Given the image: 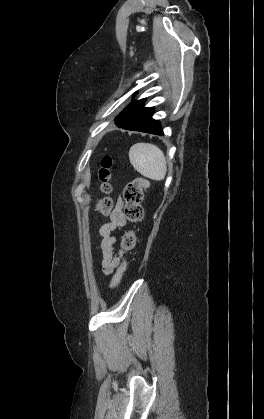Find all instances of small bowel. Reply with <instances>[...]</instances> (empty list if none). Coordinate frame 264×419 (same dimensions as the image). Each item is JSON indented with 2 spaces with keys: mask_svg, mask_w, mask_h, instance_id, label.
Returning a JSON list of instances; mask_svg holds the SVG:
<instances>
[{
  "mask_svg": "<svg viewBox=\"0 0 264 419\" xmlns=\"http://www.w3.org/2000/svg\"><path fill=\"white\" fill-rule=\"evenodd\" d=\"M126 225L123 214V201L119 198L110 214V222L104 224L99 231L101 268L105 275H113L121 264L124 251H116V237L111 235L114 230L122 229Z\"/></svg>",
  "mask_w": 264,
  "mask_h": 419,
  "instance_id": "1",
  "label": "small bowel"
}]
</instances>
